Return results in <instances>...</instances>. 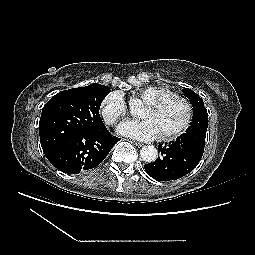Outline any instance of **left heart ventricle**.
Instances as JSON below:
<instances>
[{
    "mask_svg": "<svg viewBox=\"0 0 255 255\" xmlns=\"http://www.w3.org/2000/svg\"><path fill=\"white\" fill-rule=\"evenodd\" d=\"M140 117L142 119L150 118L155 120L162 135L182 124L185 118V110L177 103H169L160 108L147 104Z\"/></svg>",
    "mask_w": 255,
    "mask_h": 255,
    "instance_id": "1",
    "label": "left heart ventricle"
}]
</instances>
